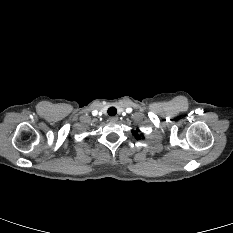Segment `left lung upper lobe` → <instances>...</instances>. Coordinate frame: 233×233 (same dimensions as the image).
<instances>
[{
	"mask_svg": "<svg viewBox=\"0 0 233 233\" xmlns=\"http://www.w3.org/2000/svg\"><path fill=\"white\" fill-rule=\"evenodd\" d=\"M133 134L136 135L135 137H136L137 139H140V136L138 135V132H137V131H134Z\"/></svg>",
	"mask_w": 233,
	"mask_h": 233,
	"instance_id": "5c2ea615",
	"label": "left lung upper lobe"
}]
</instances>
